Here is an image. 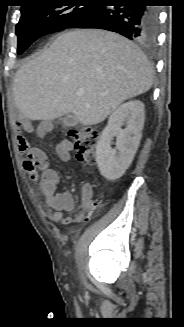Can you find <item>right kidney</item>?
I'll use <instances>...</instances> for the list:
<instances>
[{"instance_id":"right-kidney-1","label":"right kidney","mask_w":184,"mask_h":327,"mask_svg":"<svg viewBox=\"0 0 184 327\" xmlns=\"http://www.w3.org/2000/svg\"><path fill=\"white\" fill-rule=\"evenodd\" d=\"M144 118V104L139 100L123 103L111 114L96 146V162L107 180L120 178L132 163L142 137ZM113 137H116L114 149Z\"/></svg>"}]
</instances>
